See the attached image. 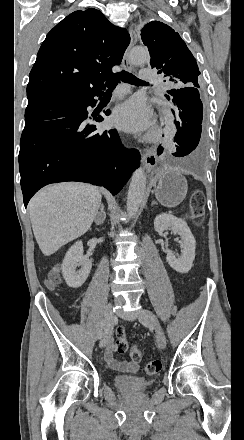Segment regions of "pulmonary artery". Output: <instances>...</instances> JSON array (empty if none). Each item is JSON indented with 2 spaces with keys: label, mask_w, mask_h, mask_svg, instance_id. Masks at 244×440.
I'll list each match as a JSON object with an SVG mask.
<instances>
[{
  "label": "pulmonary artery",
  "mask_w": 244,
  "mask_h": 440,
  "mask_svg": "<svg viewBox=\"0 0 244 440\" xmlns=\"http://www.w3.org/2000/svg\"><path fill=\"white\" fill-rule=\"evenodd\" d=\"M137 76L138 78H151L152 71L151 69H138Z\"/></svg>",
  "instance_id": "pulmonary-artery-1"
}]
</instances>
